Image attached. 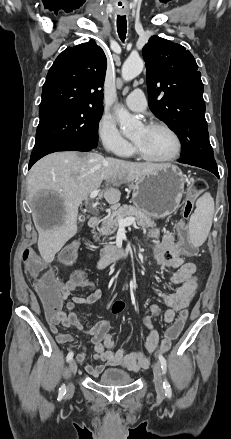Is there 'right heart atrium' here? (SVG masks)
<instances>
[{
  "label": "right heart atrium",
  "instance_id": "obj_1",
  "mask_svg": "<svg viewBox=\"0 0 231 439\" xmlns=\"http://www.w3.org/2000/svg\"><path fill=\"white\" fill-rule=\"evenodd\" d=\"M97 134L103 147L119 156H125L131 153V144L121 135L114 119L104 115L99 120Z\"/></svg>",
  "mask_w": 231,
  "mask_h": 439
}]
</instances>
